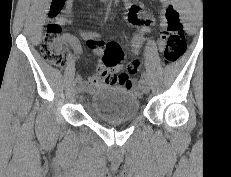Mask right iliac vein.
Returning a JSON list of instances; mask_svg holds the SVG:
<instances>
[{
	"label": "right iliac vein",
	"instance_id": "right-iliac-vein-1",
	"mask_svg": "<svg viewBox=\"0 0 231 177\" xmlns=\"http://www.w3.org/2000/svg\"><path fill=\"white\" fill-rule=\"evenodd\" d=\"M83 90H84V87L82 85H78L75 88V91H76L77 94L82 93Z\"/></svg>",
	"mask_w": 231,
	"mask_h": 177
}]
</instances>
